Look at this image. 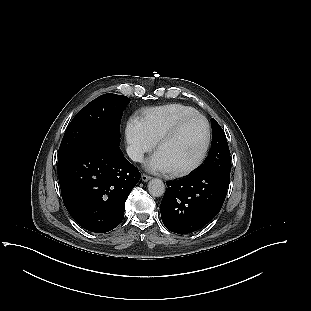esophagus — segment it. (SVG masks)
I'll list each match as a JSON object with an SVG mask.
<instances>
[{"label":"esophagus","mask_w":311,"mask_h":311,"mask_svg":"<svg viewBox=\"0 0 311 311\" xmlns=\"http://www.w3.org/2000/svg\"><path fill=\"white\" fill-rule=\"evenodd\" d=\"M141 179H142V181L147 182L148 180L151 179V177L146 175V174H142Z\"/></svg>","instance_id":"obj_1"}]
</instances>
